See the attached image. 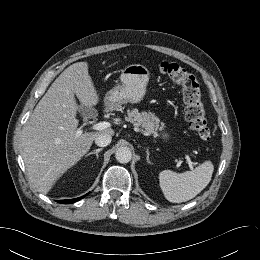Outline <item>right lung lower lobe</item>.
<instances>
[{
	"label": "right lung lower lobe",
	"mask_w": 260,
	"mask_h": 260,
	"mask_svg": "<svg viewBox=\"0 0 260 260\" xmlns=\"http://www.w3.org/2000/svg\"><path fill=\"white\" fill-rule=\"evenodd\" d=\"M84 196H86V195H84ZM84 196L76 198V199H70V200H58L57 202L63 203V204H70V203H74V202L82 199Z\"/></svg>",
	"instance_id": "1"
}]
</instances>
